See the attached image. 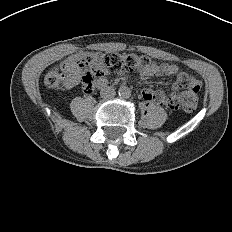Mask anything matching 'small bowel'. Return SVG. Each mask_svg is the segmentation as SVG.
Wrapping results in <instances>:
<instances>
[{"instance_id": "c3829d8e", "label": "small bowel", "mask_w": 232, "mask_h": 232, "mask_svg": "<svg viewBox=\"0 0 232 232\" xmlns=\"http://www.w3.org/2000/svg\"><path fill=\"white\" fill-rule=\"evenodd\" d=\"M64 64V71L67 73V78H66V87L68 89L74 88L80 79V68L75 64V59L74 58H69ZM141 75L143 76H171L178 74L177 81L180 79H187L192 87H198L200 89L201 87V81L195 77V76H190L185 72H179V67L175 64H170V63H154L148 70L144 72H140ZM97 83L100 84V86L97 87H104L106 85V79L104 77H101L98 79ZM96 83V84H97ZM161 92H153L150 89H144L142 92V98L145 101L151 102L155 101V96Z\"/></svg>"}]
</instances>
